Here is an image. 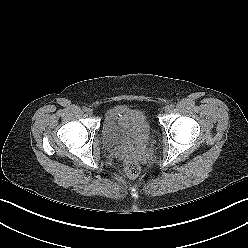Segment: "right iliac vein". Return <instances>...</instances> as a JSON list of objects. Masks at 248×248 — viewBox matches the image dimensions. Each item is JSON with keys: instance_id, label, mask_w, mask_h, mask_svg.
I'll return each mask as SVG.
<instances>
[{"instance_id": "63e3f726", "label": "right iliac vein", "mask_w": 248, "mask_h": 248, "mask_svg": "<svg viewBox=\"0 0 248 248\" xmlns=\"http://www.w3.org/2000/svg\"><path fill=\"white\" fill-rule=\"evenodd\" d=\"M86 113L91 116L93 114V110L91 108H88Z\"/></svg>"}]
</instances>
